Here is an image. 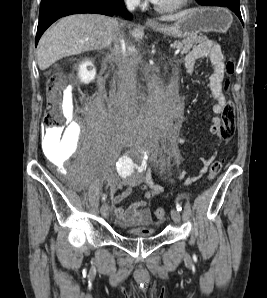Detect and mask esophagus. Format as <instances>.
<instances>
[{
    "label": "esophagus",
    "instance_id": "esophagus-1",
    "mask_svg": "<svg viewBox=\"0 0 267 298\" xmlns=\"http://www.w3.org/2000/svg\"><path fill=\"white\" fill-rule=\"evenodd\" d=\"M146 24L152 26V25H155L156 22H155L154 20H152V19H148V20L146 21Z\"/></svg>",
    "mask_w": 267,
    "mask_h": 298
}]
</instances>
